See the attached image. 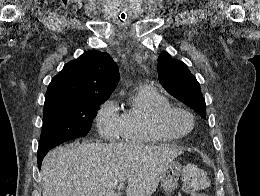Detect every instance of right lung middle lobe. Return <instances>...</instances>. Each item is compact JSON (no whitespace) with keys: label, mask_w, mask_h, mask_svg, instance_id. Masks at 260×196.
<instances>
[{"label":"right lung middle lobe","mask_w":260,"mask_h":196,"mask_svg":"<svg viewBox=\"0 0 260 196\" xmlns=\"http://www.w3.org/2000/svg\"><path fill=\"white\" fill-rule=\"evenodd\" d=\"M105 99L44 106L43 129L38 149H51L63 142L85 137L91 129L96 110Z\"/></svg>","instance_id":"right-lung-middle-lobe-1"}]
</instances>
